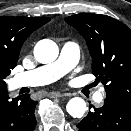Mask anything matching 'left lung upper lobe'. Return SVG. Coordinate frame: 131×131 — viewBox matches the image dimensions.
I'll use <instances>...</instances> for the list:
<instances>
[{
	"label": "left lung upper lobe",
	"mask_w": 131,
	"mask_h": 131,
	"mask_svg": "<svg viewBox=\"0 0 131 131\" xmlns=\"http://www.w3.org/2000/svg\"><path fill=\"white\" fill-rule=\"evenodd\" d=\"M65 21L87 41L92 73L107 84L106 99L131 108V30L100 14L82 13Z\"/></svg>",
	"instance_id": "left-lung-upper-lobe-1"
}]
</instances>
